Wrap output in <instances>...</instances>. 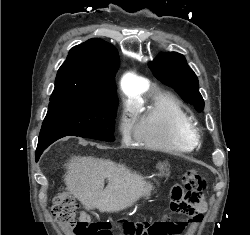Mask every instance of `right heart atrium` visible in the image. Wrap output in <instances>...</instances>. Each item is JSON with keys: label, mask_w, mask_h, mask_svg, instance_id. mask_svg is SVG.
<instances>
[{"label": "right heart atrium", "mask_w": 250, "mask_h": 235, "mask_svg": "<svg viewBox=\"0 0 250 235\" xmlns=\"http://www.w3.org/2000/svg\"><path fill=\"white\" fill-rule=\"evenodd\" d=\"M118 130L124 142H130L135 136L136 125L129 110L122 111L118 121Z\"/></svg>", "instance_id": "1"}]
</instances>
